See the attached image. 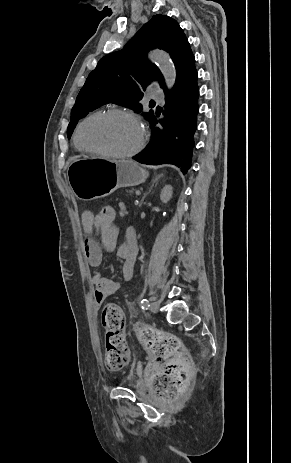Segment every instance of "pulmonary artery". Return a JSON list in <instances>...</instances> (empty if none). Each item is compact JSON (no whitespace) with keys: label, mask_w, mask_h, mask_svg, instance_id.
<instances>
[{"label":"pulmonary artery","mask_w":291,"mask_h":463,"mask_svg":"<svg viewBox=\"0 0 291 463\" xmlns=\"http://www.w3.org/2000/svg\"><path fill=\"white\" fill-rule=\"evenodd\" d=\"M150 96L154 99H162L163 94H162V91L159 89H152L150 91Z\"/></svg>","instance_id":"e3ab8cb5"}]
</instances>
